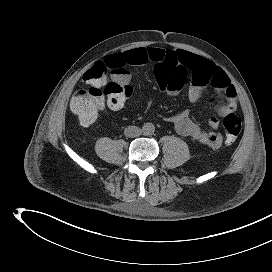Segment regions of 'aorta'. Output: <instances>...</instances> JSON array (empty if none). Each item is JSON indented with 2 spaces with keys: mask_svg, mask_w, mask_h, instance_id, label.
<instances>
[{
  "mask_svg": "<svg viewBox=\"0 0 272 272\" xmlns=\"http://www.w3.org/2000/svg\"><path fill=\"white\" fill-rule=\"evenodd\" d=\"M142 132L144 135H152L155 132V126L154 124L148 122L144 123L142 127Z\"/></svg>",
  "mask_w": 272,
  "mask_h": 272,
  "instance_id": "obj_1",
  "label": "aorta"
}]
</instances>
